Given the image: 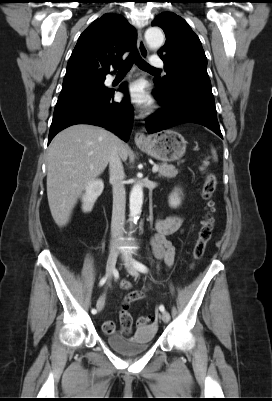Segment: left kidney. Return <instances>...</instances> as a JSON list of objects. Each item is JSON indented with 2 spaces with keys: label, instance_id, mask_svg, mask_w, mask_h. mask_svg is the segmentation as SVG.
Instances as JSON below:
<instances>
[{
  "label": "left kidney",
  "instance_id": "5707ae66",
  "mask_svg": "<svg viewBox=\"0 0 272 401\" xmlns=\"http://www.w3.org/2000/svg\"><path fill=\"white\" fill-rule=\"evenodd\" d=\"M179 189H175L169 196V204L171 207L176 208L177 206L180 205L181 203V198H180V193Z\"/></svg>",
  "mask_w": 272,
  "mask_h": 401
}]
</instances>
